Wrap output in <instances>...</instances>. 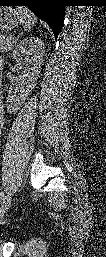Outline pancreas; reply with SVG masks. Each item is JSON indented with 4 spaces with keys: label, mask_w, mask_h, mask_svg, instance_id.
Instances as JSON below:
<instances>
[{
    "label": "pancreas",
    "mask_w": 106,
    "mask_h": 257,
    "mask_svg": "<svg viewBox=\"0 0 106 257\" xmlns=\"http://www.w3.org/2000/svg\"><path fill=\"white\" fill-rule=\"evenodd\" d=\"M16 39L12 36L1 35L0 37V52L5 53L13 48Z\"/></svg>",
    "instance_id": "cf45deb5"
}]
</instances>
